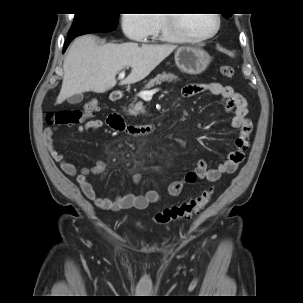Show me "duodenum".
<instances>
[{"mask_svg": "<svg viewBox=\"0 0 303 303\" xmlns=\"http://www.w3.org/2000/svg\"><path fill=\"white\" fill-rule=\"evenodd\" d=\"M121 98H122V94L120 92H113L111 94L112 101H118ZM110 118L113 120L115 124V129L117 131L126 132L132 137H145L155 132L156 129L158 128L157 124H148V125L126 124L120 113H112L110 114Z\"/></svg>", "mask_w": 303, "mask_h": 303, "instance_id": "410a0bca", "label": "duodenum"}]
</instances>
